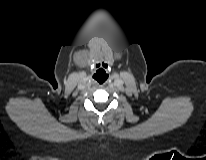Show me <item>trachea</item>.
<instances>
[{"mask_svg":"<svg viewBox=\"0 0 206 160\" xmlns=\"http://www.w3.org/2000/svg\"><path fill=\"white\" fill-rule=\"evenodd\" d=\"M108 75L104 70H99L96 72V74L93 76L95 80H97L99 83H103L106 80V77Z\"/></svg>","mask_w":206,"mask_h":160,"instance_id":"1","label":"trachea"}]
</instances>
